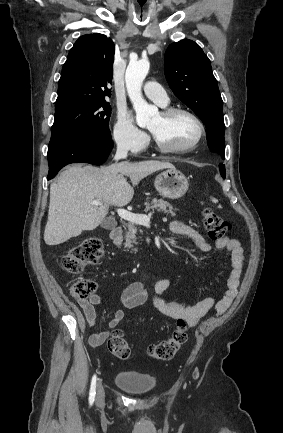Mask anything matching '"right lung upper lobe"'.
I'll use <instances>...</instances> for the list:
<instances>
[{
    "label": "right lung upper lobe",
    "instance_id": "right-lung-upper-lobe-1",
    "mask_svg": "<svg viewBox=\"0 0 283 433\" xmlns=\"http://www.w3.org/2000/svg\"><path fill=\"white\" fill-rule=\"evenodd\" d=\"M114 43L103 34L81 36L63 65L55 111L111 96Z\"/></svg>",
    "mask_w": 283,
    "mask_h": 433
}]
</instances>
